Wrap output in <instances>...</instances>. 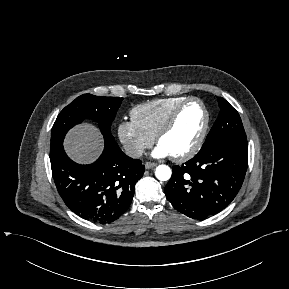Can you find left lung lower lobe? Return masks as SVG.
Segmentation results:
<instances>
[{"label":"left lung lower lobe","mask_w":289,"mask_h":289,"mask_svg":"<svg viewBox=\"0 0 289 289\" xmlns=\"http://www.w3.org/2000/svg\"><path fill=\"white\" fill-rule=\"evenodd\" d=\"M248 164L247 141L215 142L182 166H173L165 187L174 208L193 219H204L226 208L240 190Z\"/></svg>","instance_id":"1"}]
</instances>
